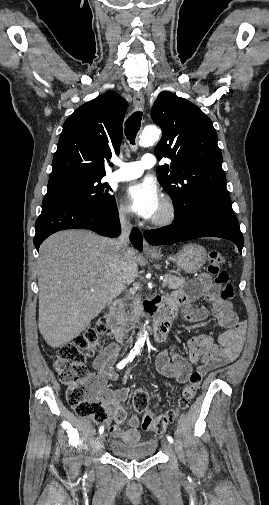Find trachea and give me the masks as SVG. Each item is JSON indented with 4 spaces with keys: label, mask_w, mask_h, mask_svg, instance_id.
Listing matches in <instances>:
<instances>
[{
    "label": "trachea",
    "mask_w": 269,
    "mask_h": 505,
    "mask_svg": "<svg viewBox=\"0 0 269 505\" xmlns=\"http://www.w3.org/2000/svg\"><path fill=\"white\" fill-rule=\"evenodd\" d=\"M142 112H134L125 122V135L131 144H135L136 135L141 126Z\"/></svg>",
    "instance_id": "1"
}]
</instances>
